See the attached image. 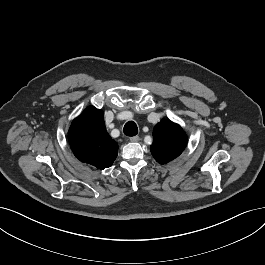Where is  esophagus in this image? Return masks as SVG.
<instances>
[{
  "instance_id": "34e87169",
  "label": "esophagus",
  "mask_w": 265,
  "mask_h": 265,
  "mask_svg": "<svg viewBox=\"0 0 265 265\" xmlns=\"http://www.w3.org/2000/svg\"><path fill=\"white\" fill-rule=\"evenodd\" d=\"M139 140H140L139 136L130 137L131 142H138Z\"/></svg>"
}]
</instances>
